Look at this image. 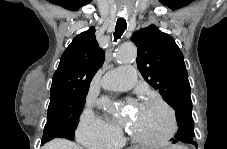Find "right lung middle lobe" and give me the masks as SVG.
<instances>
[{
	"mask_svg": "<svg viewBox=\"0 0 227 149\" xmlns=\"http://www.w3.org/2000/svg\"><path fill=\"white\" fill-rule=\"evenodd\" d=\"M85 94H50L47 123L42 141L47 137L74 138L79 116L86 99Z\"/></svg>",
	"mask_w": 227,
	"mask_h": 149,
	"instance_id": "1",
	"label": "right lung middle lobe"
}]
</instances>
